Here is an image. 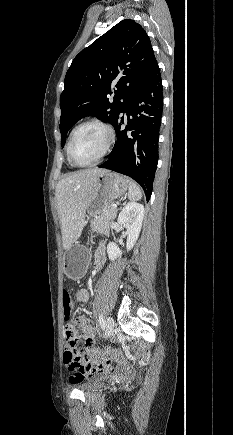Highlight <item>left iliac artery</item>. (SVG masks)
I'll return each instance as SVG.
<instances>
[{
  "label": "left iliac artery",
  "mask_w": 233,
  "mask_h": 435,
  "mask_svg": "<svg viewBox=\"0 0 233 435\" xmlns=\"http://www.w3.org/2000/svg\"><path fill=\"white\" fill-rule=\"evenodd\" d=\"M99 324H100V327H101L102 329L105 328V320H104L102 314L99 315Z\"/></svg>",
  "instance_id": "obj_1"
}]
</instances>
